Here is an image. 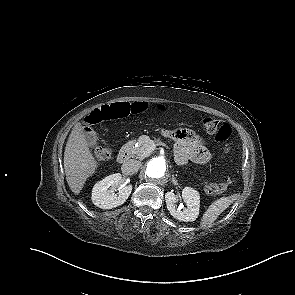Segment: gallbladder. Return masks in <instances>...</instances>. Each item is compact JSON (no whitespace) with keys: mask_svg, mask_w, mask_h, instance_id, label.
Listing matches in <instances>:
<instances>
[{"mask_svg":"<svg viewBox=\"0 0 295 295\" xmlns=\"http://www.w3.org/2000/svg\"><path fill=\"white\" fill-rule=\"evenodd\" d=\"M86 141L90 146H97L98 137L95 133H91L86 137Z\"/></svg>","mask_w":295,"mask_h":295,"instance_id":"obj_1","label":"gallbladder"}]
</instances>
